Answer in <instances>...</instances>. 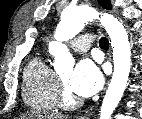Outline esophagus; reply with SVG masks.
I'll list each match as a JSON object with an SVG mask.
<instances>
[{
    "label": "esophagus",
    "instance_id": "esophagus-1",
    "mask_svg": "<svg viewBox=\"0 0 142 119\" xmlns=\"http://www.w3.org/2000/svg\"><path fill=\"white\" fill-rule=\"evenodd\" d=\"M92 114H93V110L91 109V110L87 111L85 114L81 115L79 117V119H89Z\"/></svg>",
    "mask_w": 142,
    "mask_h": 119
}]
</instances>
